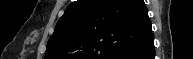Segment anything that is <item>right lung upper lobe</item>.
I'll use <instances>...</instances> for the list:
<instances>
[{
  "label": "right lung upper lobe",
  "mask_w": 193,
  "mask_h": 59,
  "mask_svg": "<svg viewBox=\"0 0 193 59\" xmlns=\"http://www.w3.org/2000/svg\"><path fill=\"white\" fill-rule=\"evenodd\" d=\"M150 34L143 0H78L59 19L45 59H116Z\"/></svg>",
  "instance_id": "obj_1"
}]
</instances>
